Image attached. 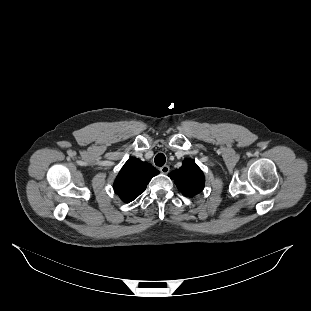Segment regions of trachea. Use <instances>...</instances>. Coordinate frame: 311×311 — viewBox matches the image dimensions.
I'll return each instance as SVG.
<instances>
[{"label":"trachea","instance_id":"obj_1","mask_svg":"<svg viewBox=\"0 0 311 311\" xmlns=\"http://www.w3.org/2000/svg\"><path fill=\"white\" fill-rule=\"evenodd\" d=\"M154 161H155V164L157 166H163L165 164V161H166L165 155L163 153H158L155 156Z\"/></svg>","mask_w":311,"mask_h":311}]
</instances>
